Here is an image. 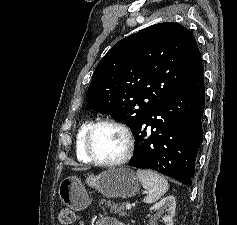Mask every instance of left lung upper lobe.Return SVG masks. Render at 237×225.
I'll return each mask as SVG.
<instances>
[{"label":"left lung upper lobe","mask_w":237,"mask_h":225,"mask_svg":"<svg viewBox=\"0 0 237 225\" xmlns=\"http://www.w3.org/2000/svg\"><path fill=\"white\" fill-rule=\"evenodd\" d=\"M203 81L201 54L184 26H149L115 44L98 63L86 101L132 132L165 97Z\"/></svg>","instance_id":"5c2ea615"}]
</instances>
